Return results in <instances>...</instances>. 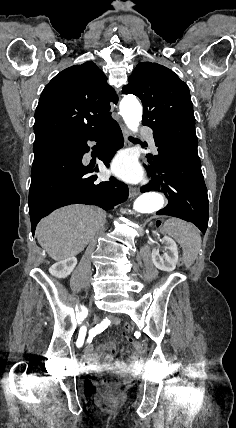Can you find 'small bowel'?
<instances>
[{
    "instance_id": "c3829d8e",
    "label": "small bowel",
    "mask_w": 236,
    "mask_h": 428,
    "mask_svg": "<svg viewBox=\"0 0 236 428\" xmlns=\"http://www.w3.org/2000/svg\"><path fill=\"white\" fill-rule=\"evenodd\" d=\"M119 323L120 319L118 317L108 316L90 331V339L86 346V355L84 358L86 364L92 367H117L122 370H135L141 366L144 360L145 347L140 342H133L134 354L126 361H116L114 359L115 344L113 342L101 343L98 345L97 350L94 351L91 339L107 327L118 325Z\"/></svg>"
}]
</instances>
